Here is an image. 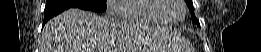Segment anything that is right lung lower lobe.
<instances>
[{"instance_id": "right-lung-lower-lobe-1", "label": "right lung lower lobe", "mask_w": 261, "mask_h": 52, "mask_svg": "<svg viewBox=\"0 0 261 52\" xmlns=\"http://www.w3.org/2000/svg\"><path fill=\"white\" fill-rule=\"evenodd\" d=\"M68 8H81V9H84V10H90V9H87V8H84V7H79V6H74V5H67V4H64V3H47L46 7H45V10H44V22H43V25L50 18H52L53 16L58 15L59 13H61L62 11H64L65 9H68ZM91 11H94V10H91ZM94 12L100 13V12H97V11H94Z\"/></svg>"}]
</instances>
